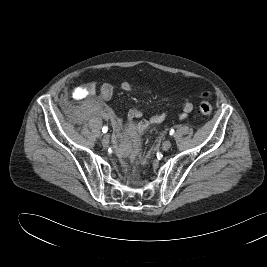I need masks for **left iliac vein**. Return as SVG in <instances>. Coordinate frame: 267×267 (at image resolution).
Segmentation results:
<instances>
[{
    "label": "left iliac vein",
    "instance_id": "obj_1",
    "mask_svg": "<svg viewBox=\"0 0 267 267\" xmlns=\"http://www.w3.org/2000/svg\"><path fill=\"white\" fill-rule=\"evenodd\" d=\"M170 147H171V141H170V140H165V141L163 142V144H162V149H163L164 151H167V150L170 149Z\"/></svg>",
    "mask_w": 267,
    "mask_h": 267
}]
</instances>
